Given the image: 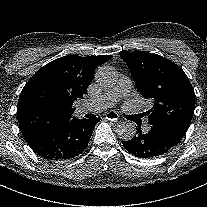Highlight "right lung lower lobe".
Listing matches in <instances>:
<instances>
[{
	"label": "right lung lower lobe",
	"instance_id": "right-lung-lower-lobe-1",
	"mask_svg": "<svg viewBox=\"0 0 207 207\" xmlns=\"http://www.w3.org/2000/svg\"><path fill=\"white\" fill-rule=\"evenodd\" d=\"M96 118V117H95ZM99 119L73 117L52 133L28 143L30 148L48 161H65L84 151Z\"/></svg>",
	"mask_w": 207,
	"mask_h": 207
}]
</instances>
